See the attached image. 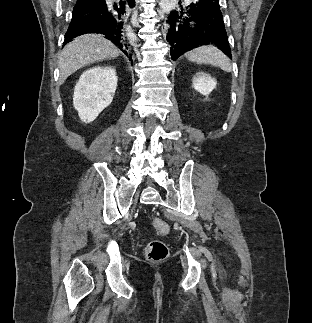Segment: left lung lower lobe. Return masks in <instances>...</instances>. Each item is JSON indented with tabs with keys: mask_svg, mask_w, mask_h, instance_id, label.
<instances>
[{
	"mask_svg": "<svg viewBox=\"0 0 312 323\" xmlns=\"http://www.w3.org/2000/svg\"><path fill=\"white\" fill-rule=\"evenodd\" d=\"M166 39L171 57L176 60L201 45H216L231 58L219 0H194L185 9L172 11L167 20Z\"/></svg>",
	"mask_w": 312,
	"mask_h": 323,
	"instance_id": "0a47b994",
	"label": "left lung lower lobe"
}]
</instances>
